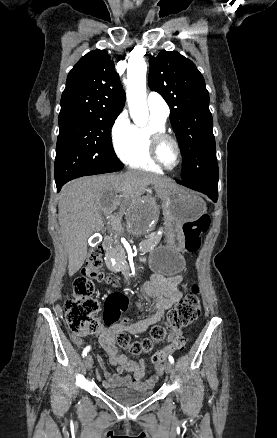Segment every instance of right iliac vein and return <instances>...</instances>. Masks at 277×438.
Listing matches in <instances>:
<instances>
[{"label": "right iliac vein", "mask_w": 277, "mask_h": 438, "mask_svg": "<svg viewBox=\"0 0 277 438\" xmlns=\"http://www.w3.org/2000/svg\"><path fill=\"white\" fill-rule=\"evenodd\" d=\"M93 366V358L91 355H88L85 359V367L90 370Z\"/></svg>", "instance_id": "1"}]
</instances>
